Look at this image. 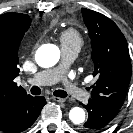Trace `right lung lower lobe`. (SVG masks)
<instances>
[{
  "instance_id": "98d812e1",
  "label": "right lung lower lobe",
  "mask_w": 133,
  "mask_h": 133,
  "mask_svg": "<svg viewBox=\"0 0 133 133\" xmlns=\"http://www.w3.org/2000/svg\"><path fill=\"white\" fill-rule=\"evenodd\" d=\"M45 104L44 97L28 95L19 99L0 119V130L4 133H19L26 130L35 122Z\"/></svg>"
}]
</instances>
